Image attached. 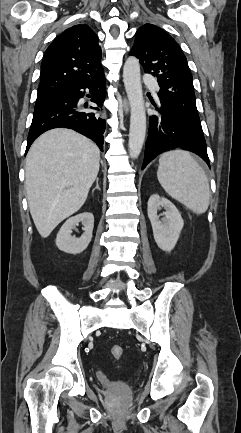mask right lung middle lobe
<instances>
[{
    "label": "right lung middle lobe",
    "mask_w": 241,
    "mask_h": 433,
    "mask_svg": "<svg viewBox=\"0 0 241 433\" xmlns=\"http://www.w3.org/2000/svg\"><path fill=\"white\" fill-rule=\"evenodd\" d=\"M54 96H55V94H46V95L37 96L35 109L42 106L43 104L47 103Z\"/></svg>",
    "instance_id": "obj_1"
}]
</instances>
